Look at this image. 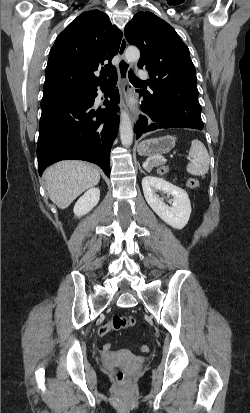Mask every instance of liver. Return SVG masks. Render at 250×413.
I'll return each mask as SVG.
<instances>
[{
    "instance_id": "liver-1",
    "label": "liver",
    "mask_w": 250,
    "mask_h": 413,
    "mask_svg": "<svg viewBox=\"0 0 250 413\" xmlns=\"http://www.w3.org/2000/svg\"><path fill=\"white\" fill-rule=\"evenodd\" d=\"M44 179L51 201L65 209L85 190L97 185L100 174L91 164L67 160L50 166Z\"/></svg>"
}]
</instances>
